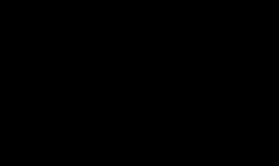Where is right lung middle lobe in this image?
I'll return each instance as SVG.
<instances>
[{
    "label": "right lung middle lobe",
    "mask_w": 279,
    "mask_h": 166,
    "mask_svg": "<svg viewBox=\"0 0 279 166\" xmlns=\"http://www.w3.org/2000/svg\"><path fill=\"white\" fill-rule=\"evenodd\" d=\"M110 21L112 23H117L118 25H121L120 27L124 30V31H129L130 33H133L134 29L138 26V25H142L141 23L143 22H140V20H136V19H131V18H128V17H125V18H116V17H113V18H110ZM70 26L66 27L63 31L61 32H64L66 31L67 29H69ZM60 32V33H61Z\"/></svg>",
    "instance_id": "1"
}]
</instances>
